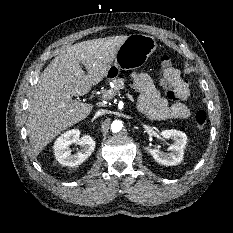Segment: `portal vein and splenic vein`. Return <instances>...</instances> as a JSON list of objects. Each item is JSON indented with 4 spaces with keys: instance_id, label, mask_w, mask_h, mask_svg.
<instances>
[{
    "instance_id": "portal-vein-and-splenic-vein-1",
    "label": "portal vein and splenic vein",
    "mask_w": 233,
    "mask_h": 233,
    "mask_svg": "<svg viewBox=\"0 0 233 233\" xmlns=\"http://www.w3.org/2000/svg\"><path fill=\"white\" fill-rule=\"evenodd\" d=\"M126 95H127L131 100L133 99L132 96L129 95L128 93H126ZM113 97H114V96L111 94L110 91L105 92V93L102 95V98H103V99H111V98H113Z\"/></svg>"
}]
</instances>
